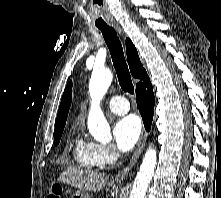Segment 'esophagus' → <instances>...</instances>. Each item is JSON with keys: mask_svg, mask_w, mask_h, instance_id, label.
I'll return each instance as SVG.
<instances>
[{"mask_svg": "<svg viewBox=\"0 0 221 198\" xmlns=\"http://www.w3.org/2000/svg\"><path fill=\"white\" fill-rule=\"evenodd\" d=\"M114 28L118 31V33L120 35H122V29L118 24H114ZM146 138H147V133L146 131H144L141 135V138L138 142L137 148L130 160V162L128 163V165L116 175L115 180L120 182L122 180H124L128 174L130 173V171L132 170L133 166L135 165V163L137 162V159L139 158V156L141 155V152L144 148L145 142H146Z\"/></svg>", "mask_w": 221, "mask_h": 198, "instance_id": "1", "label": "esophagus"}]
</instances>
